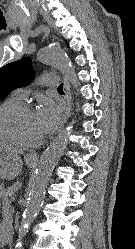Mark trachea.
<instances>
[{"mask_svg": "<svg viewBox=\"0 0 135 249\" xmlns=\"http://www.w3.org/2000/svg\"><path fill=\"white\" fill-rule=\"evenodd\" d=\"M58 91H63V83L58 86Z\"/></svg>", "mask_w": 135, "mask_h": 249, "instance_id": "1", "label": "trachea"}]
</instances>
